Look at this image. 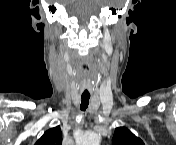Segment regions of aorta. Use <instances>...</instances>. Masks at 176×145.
Wrapping results in <instances>:
<instances>
[{"instance_id": "1", "label": "aorta", "mask_w": 176, "mask_h": 145, "mask_svg": "<svg viewBox=\"0 0 176 145\" xmlns=\"http://www.w3.org/2000/svg\"><path fill=\"white\" fill-rule=\"evenodd\" d=\"M100 136L94 132H87L83 137L84 145H99Z\"/></svg>"}]
</instances>
